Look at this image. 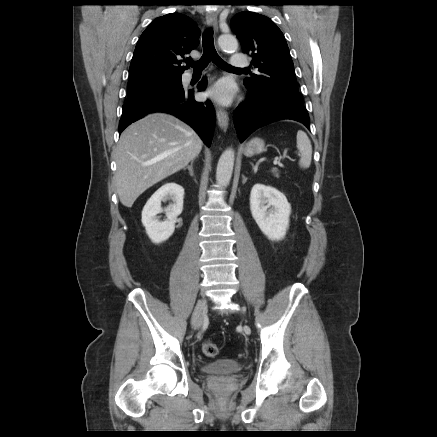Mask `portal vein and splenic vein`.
I'll return each instance as SVG.
<instances>
[{
    "mask_svg": "<svg viewBox=\"0 0 437 437\" xmlns=\"http://www.w3.org/2000/svg\"><path fill=\"white\" fill-rule=\"evenodd\" d=\"M274 165H278L280 167H283V165L279 161H277V160L274 161Z\"/></svg>",
    "mask_w": 437,
    "mask_h": 437,
    "instance_id": "obj_1",
    "label": "portal vein and splenic vein"
}]
</instances>
